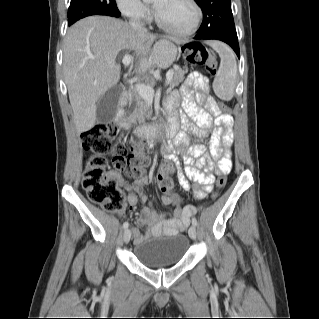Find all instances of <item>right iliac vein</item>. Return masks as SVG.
Wrapping results in <instances>:
<instances>
[{
	"label": "right iliac vein",
	"mask_w": 319,
	"mask_h": 319,
	"mask_svg": "<svg viewBox=\"0 0 319 319\" xmlns=\"http://www.w3.org/2000/svg\"><path fill=\"white\" fill-rule=\"evenodd\" d=\"M131 239V230L126 229L123 233V241L125 244H127Z\"/></svg>",
	"instance_id": "63e3f726"
}]
</instances>
